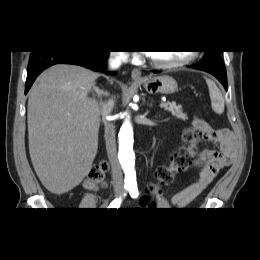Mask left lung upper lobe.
Returning <instances> with one entry per match:
<instances>
[{
	"instance_id": "left-lung-upper-lobe-1",
	"label": "left lung upper lobe",
	"mask_w": 260,
	"mask_h": 260,
	"mask_svg": "<svg viewBox=\"0 0 260 260\" xmlns=\"http://www.w3.org/2000/svg\"><path fill=\"white\" fill-rule=\"evenodd\" d=\"M205 52V56L204 58H207V57H220V51H204Z\"/></svg>"
}]
</instances>
